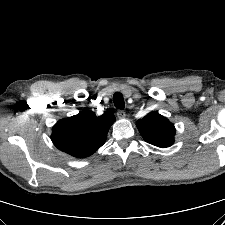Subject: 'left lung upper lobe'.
<instances>
[{
	"mask_svg": "<svg viewBox=\"0 0 225 225\" xmlns=\"http://www.w3.org/2000/svg\"><path fill=\"white\" fill-rule=\"evenodd\" d=\"M136 125L144 140L152 145L165 148L174 142V125L158 112L149 113Z\"/></svg>",
	"mask_w": 225,
	"mask_h": 225,
	"instance_id": "1",
	"label": "left lung upper lobe"
}]
</instances>
